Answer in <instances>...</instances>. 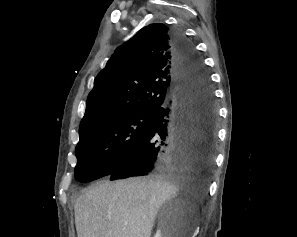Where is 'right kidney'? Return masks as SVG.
<instances>
[{
    "label": "right kidney",
    "mask_w": 297,
    "mask_h": 237,
    "mask_svg": "<svg viewBox=\"0 0 297 237\" xmlns=\"http://www.w3.org/2000/svg\"><path fill=\"white\" fill-rule=\"evenodd\" d=\"M154 237H161L160 231H157V233Z\"/></svg>",
    "instance_id": "ca27d5eb"
}]
</instances>
